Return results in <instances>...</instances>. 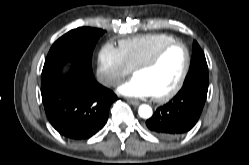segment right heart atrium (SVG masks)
Listing matches in <instances>:
<instances>
[{
	"label": "right heart atrium",
	"instance_id": "1",
	"mask_svg": "<svg viewBox=\"0 0 249 165\" xmlns=\"http://www.w3.org/2000/svg\"><path fill=\"white\" fill-rule=\"evenodd\" d=\"M131 73L119 48L105 44L98 53L97 77L108 87L117 86Z\"/></svg>",
	"mask_w": 249,
	"mask_h": 165
}]
</instances>
